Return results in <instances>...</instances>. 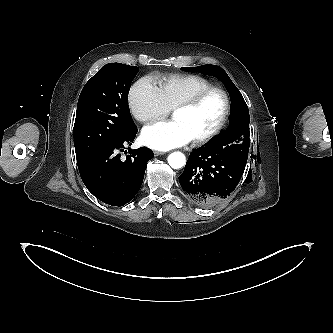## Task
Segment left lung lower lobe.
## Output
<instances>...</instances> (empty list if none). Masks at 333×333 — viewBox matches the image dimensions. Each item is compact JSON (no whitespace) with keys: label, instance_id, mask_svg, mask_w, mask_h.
Returning a JSON list of instances; mask_svg holds the SVG:
<instances>
[{"label":"left lung lower lobe","instance_id":"left-lung-lower-lobe-1","mask_svg":"<svg viewBox=\"0 0 333 333\" xmlns=\"http://www.w3.org/2000/svg\"><path fill=\"white\" fill-rule=\"evenodd\" d=\"M246 164L205 146L190 154L180 185L186 197L201 207H212L230 196Z\"/></svg>","mask_w":333,"mask_h":333}]
</instances>
